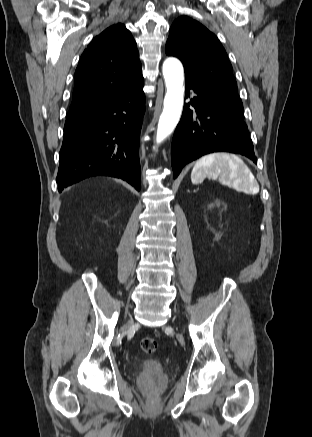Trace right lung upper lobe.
I'll list each match as a JSON object with an SVG mask.
<instances>
[{
  "mask_svg": "<svg viewBox=\"0 0 312 437\" xmlns=\"http://www.w3.org/2000/svg\"><path fill=\"white\" fill-rule=\"evenodd\" d=\"M142 76L141 63L129 30L112 25L83 52L74 77L68 114H77L127 89Z\"/></svg>",
  "mask_w": 312,
  "mask_h": 437,
  "instance_id": "right-lung-upper-lobe-1",
  "label": "right lung upper lobe"
}]
</instances>
